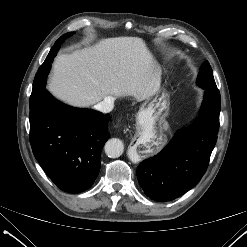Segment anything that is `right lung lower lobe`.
I'll list each match as a JSON object with an SVG mask.
<instances>
[{"instance_id":"right-lung-lower-lobe-1","label":"right lung lower lobe","mask_w":247,"mask_h":247,"mask_svg":"<svg viewBox=\"0 0 247 247\" xmlns=\"http://www.w3.org/2000/svg\"><path fill=\"white\" fill-rule=\"evenodd\" d=\"M29 117L32 151L48 177L68 193L91 187L110 136V115L67 106L45 89L30 107Z\"/></svg>"}]
</instances>
